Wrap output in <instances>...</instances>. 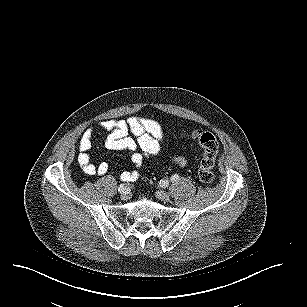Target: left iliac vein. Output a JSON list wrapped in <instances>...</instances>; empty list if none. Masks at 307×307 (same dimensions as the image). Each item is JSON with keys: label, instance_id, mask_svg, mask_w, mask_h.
Masks as SVG:
<instances>
[{"label": "left iliac vein", "instance_id": "left-iliac-vein-1", "mask_svg": "<svg viewBox=\"0 0 307 307\" xmlns=\"http://www.w3.org/2000/svg\"><path fill=\"white\" fill-rule=\"evenodd\" d=\"M155 196L160 199L161 201H168L170 198V195L166 193L165 191H157L155 193Z\"/></svg>", "mask_w": 307, "mask_h": 307}]
</instances>
